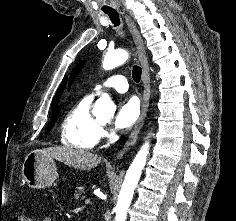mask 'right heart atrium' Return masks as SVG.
Listing matches in <instances>:
<instances>
[{
	"label": "right heart atrium",
	"instance_id": "1",
	"mask_svg": "<svg viewBox=\"0 0 236 221\" xmlns=\"http://www.w3.org/2000/svg\"><path fill=\"white\" fill-rule=\"evenodd\" d=\"M108 134V131L105 128L101 127L99 132V139L106 138Z\"/></svg>",
	"mask_w": 236,
	"mask_h": 221
}]
</instances>
